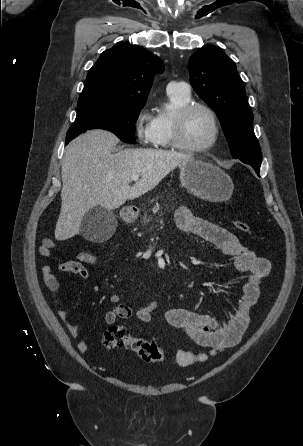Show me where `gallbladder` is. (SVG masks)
I'll list each match as a JSON object with an SVG mask.
<instances>
[{
	"instance_id": "gallbladder-1",
	"label": "gallbladder",
	"mask_w": 303,
	"mask_h": 446,
	"mask_svg": "<svg viewBox=\"0 0 303 446\" xmlns=\"http://www.w3.org/2000/svg\"><path fill=\"white\" fill-rule=\"evenodd\" d=\"M117 225L112 211L101 206L94 207L82 219L80 233L92 242L107 240Z\"/></svg>"
}]
</instances>
